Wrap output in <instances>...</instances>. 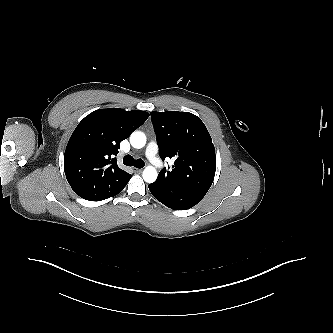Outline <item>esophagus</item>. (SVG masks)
I'll return each mask as SVG.
<instances>
[{"label": "esophagus", "mask_w": 333, "mask_h": 333, "mask_svg": "<svg viewBox=\"0 0 333 333\" xmlns=\"http://www.w3.org/2000/svg\"><path fill=\"white\" fill-rule=\"evenodd\" d=\"M134 171L140 173L142 172V168H134Z\"/></svg>", "instance_id": "obj_1"}]
</instances>
